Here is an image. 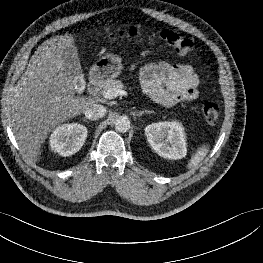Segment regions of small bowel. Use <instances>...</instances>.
Here are the masks:
<instances>
[{
	"mask_svg": "<svg viewBox=\"0 0 263 263\" xmlns=\"http://www.w3.org/2000/svg\"><path fill=\"white\" fill-rule=\"evenodd\" d=\"M140 79L143 92L164 106L198 97L199 79L190 65L167 61L147 63L140 70Z\"/></svg>",
	"mask_w": 263,
	"mask_h": 263,
	"instance_id": "small-bowel-1",
	"label": "small bowel"
}]
</instances>
